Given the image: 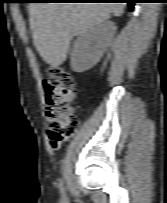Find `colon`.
<instances>
[{
    "mask_svg": "<svg viewBox=\"0 0 167 203\" xmlns=\"http://www.w3.org/2000/svg\"><path fill=\"white\" fill-rule=\"evenodd\" d=\"M46 95L48 137L52 146L71 136L78 124L77 115L70 103L76 96V82L62 66L53 65L43 81Z\"/></svg>",
    "mask_w": 167,
    "mask_h": 203,
    "instance_id": "5ec220e1",
    "label": "colon"
}]
</instances>
